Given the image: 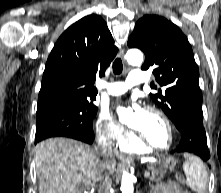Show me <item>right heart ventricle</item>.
<instances>
[{"label": "right heart ventricle", "instance_id": "e07e8e85", "mask_svg": "<svg viewBox=\"0 0 221 193\" xmlns=\"http://www.w3.org/2000/svg\"><path fill=\"white\" fill-rule=\"evenodd\" d=\"M117 148L122 152L140 153L144 152L145 148L135 138L128 137L117 145Z\"/></svg>", "mask_w": 221, "mask_h": 193}]
</instances>
